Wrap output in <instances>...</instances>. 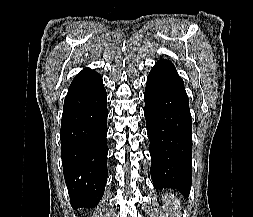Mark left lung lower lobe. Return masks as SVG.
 Masks as SVG:
<instances>
[{"mask_svg": "<svg viewBox=\"0 0 253 217\" xmlns=\"http://www.w3.org/2000/svg\"><path fill=\"white\" fill-rule=\"evenodd\" d=\"M145 119L154 187L188 197L192 180V120L184 83L173 63L157 61L147 77Z\"/></svg>", "mask_w": 253, "mask_h": 217, "instance_id": "0a47b994", "label": "left lung lower lobe"}]
</instances>
